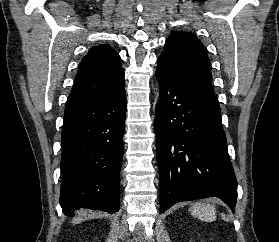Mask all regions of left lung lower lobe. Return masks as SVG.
I'll list each match as a JSON object with an SVG mask.
<instances>
[{
  "mask_svg": "<svg viewBox=\"0 0 279 242\" xmlns=\"http://www.w3.org/2000/svg\"><path fill=\"white\" fill-rule=\"evenodd\" d=\"M156 77L160 212L177 202L211 196L222 199L234 212L237 180L218 103L166 59H158Z\"/></svg>",
  "mask_w": 279,
  "mask_h": 242,
  "instance_id": "obj_1",
  "label": "left lung lower lobe"
}]
</instances>
